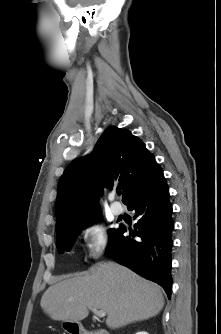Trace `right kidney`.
Listing matches in <instances>:
<instances>
[{"mask_svg": "<svg viewBox=\"0 0 221 334\" xmlns=\"http://www.w3.org/2000/svg\"><path fill=\"white\" fill-rule=\"evenodd\" d=\"M136 334H148V333L145 331H142V332H137Z\"/></svg>", "mask_w": 221, "mask_h": 334, "instance_id": "ca27d5eb", "label": "right kidney"}]
</instances>
